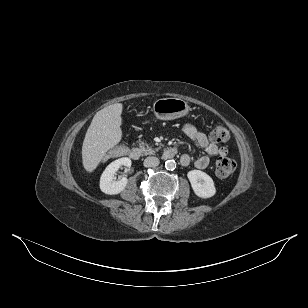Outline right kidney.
<instances>
[{"instance_id": "right-kidney-1", "label": "right kidney", "mask_w": 308, "mask_h": 308, "mask_svg": "<svg viewBox=\"0 0 308 308\" xmlns=\"http://www.w3.org/2000/svg\"><path fill=\"white\" fill-rule=\"evenodd\" d=\"M131 160L127 157H123L113 161L109 164L100 177V189L105 194L115 195L122 192L127 183L128 179L126 177L115 181V174L121 166L131 167Z\"/></svg>"}]
</instances>
